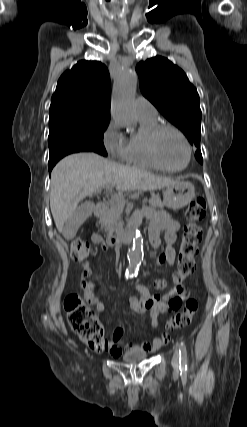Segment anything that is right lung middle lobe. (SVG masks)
Masks as SVG:
<instances>
[{
    "label": "right lung middle lobe",
    "instance_id": "dd1d6c3e",
    "mask_svg": "<svg viewBox=\"0 0 247 427\" xmlns=\"http://www.w3.org/2000/svg\"><path fill=\"white\" fill-rule=\"evenodd\" d=\"M110 116L77 110L57 111L49 116V149L77 145L107 156L103 134Z\"/></svg>",
    "mask_w": 247,
    "mask_h": 427
}]
</instances>
